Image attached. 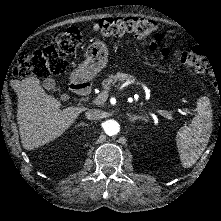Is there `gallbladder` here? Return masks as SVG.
Returning a JSON list of instances; mask_svg holds the SVG:
<instances>
[{
  "label": "gallbladder",
  "mask_w": 221,
  "mask_h": 221,
  "mask_svg": "<svg viewBox=\"0 0 221 221\" xmlns=\"http://www.w3.org/2000/svg\"><path fill=\"white\" fill-rule=\"evenodd\" d=\"M55 84H56L55 80L50 77H47L42 81L43 88L48 91H51L53 88H55Z\"/></svg>",
  "instance_id": "gallbladder-1"
}]
</instances>
